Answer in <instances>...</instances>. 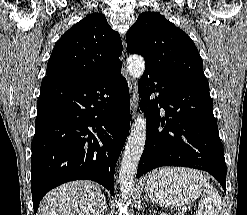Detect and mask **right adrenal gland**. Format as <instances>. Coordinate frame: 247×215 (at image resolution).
I'll use <instances>...</instances> for the list:
<instances>
[{
  "label": "right adrenal gland",
  "instance_id": "1",
  "mask_svg": "<svg viewBox=\"0 0 247 215\" xmlns=\"http://www.w3.org/2000/svg\"><path fill=\"white\" fill-rule=\"evenodd\" d=\"M104 210H107V205L105 204V206H104ZM103 215V214H102Z\"/></svg>",
  "mask_w": 247,
  "mask_h": 215
}]
</instances>
